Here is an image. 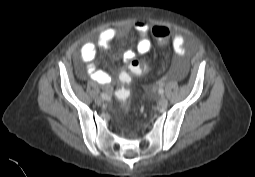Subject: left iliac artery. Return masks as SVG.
Returning <instances> with one entry per match:
<instances>
[{"instance_id": "obj_1", "label": "left iliac artery", "mask_w": 255, "mask_h": 177, "mask_svg": "<svg viewBox=\"0 0 255 177\" xmlns=\"http://www.w3.org/2000/svg\"><path fill=\"white\" fill-rule=\"evenodd\" d=\"M158 92H159L160 94H163V93H164V90H163L162 88H160V89L158 90Z\"/></svg>"}]
</instances>
